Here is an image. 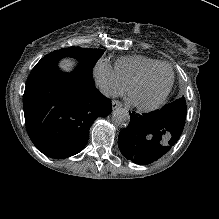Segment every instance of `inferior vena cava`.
<instances>
[{"mask_svg": "<svg viewBox=\"0 0 219 219\" xmlns=\"http://www.w3.org/2000/svg\"><path fill=\"white\" fill-rule=\"evenodd\" d=\"M98 89L101 92V94H103L107 98L117 97V93L114 90H112L111 87L108 85L105 84L98 85Z\"/></svg>", "mask_w": 219, "mask_h": 219, "instance_id": "602c4592", "label": "inferior vena cava"}]
</instances>
